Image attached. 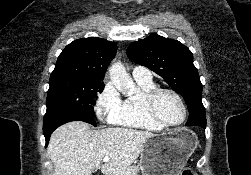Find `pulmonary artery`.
Returning <instances> with one entry per match:
<instances>
[{"mask_svg":"<svg viewBox=\"0 0 251 175\" xmlns=\"http://www.w3.org/2000/svg\"><path fill=\"white\" fill-rule=\"evenodd\" d=\"M132 76L137 82L151 83L153 81L151 72L146 68H134L132 71Z\"/></svg>","mask_w":251,"mask_h":175,"instance_id":"pulmonary-artery-1","label":"pulmonary artery"}]
</instances>
